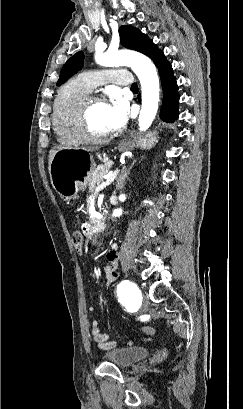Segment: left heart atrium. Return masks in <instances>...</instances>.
<instances>
[{"instance_id":"obj_1","label":"left heart atrium","mask_w":243,"mask_h":409,"mask_svg":"<svg viewBox=\"0 0 243 409\" xmlns=\"http://www.w3.org/2000/svg\"><path fill=\"white\" fill-rule=\"evenodd\" d=\"M127 121V106L120 99L115 98L107 106V125L109 132H113L122 128Z\"/></svg>"}]
</instances>
